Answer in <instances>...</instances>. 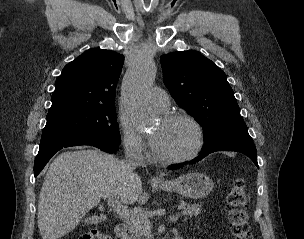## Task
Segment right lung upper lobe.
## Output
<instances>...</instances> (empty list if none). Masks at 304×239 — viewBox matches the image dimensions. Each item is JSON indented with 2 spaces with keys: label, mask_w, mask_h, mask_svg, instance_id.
Instances as JSON below:
<instances>
[{
  "label": "right lung upper lobe",
  "mask_w": 304,
  "mask_h": 239,
  "mask_svg": "<svg viewBox=\"0 0 304 239\" xmlns=\"http://www.w3.org/2000/svg\"><path fill=\"white\" fill-rule=\"evenodd\" d=\"M124 56L90 49L67 64L55 82L48 113L66 109L114 105Z\"/></svg>",
  "instance_id": "right-lung-upper-lobe-1"
}]
</instances>
